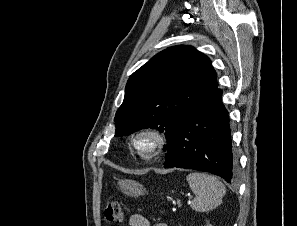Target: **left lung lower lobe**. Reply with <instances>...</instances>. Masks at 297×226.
Returning a JSON list of instances; mask_svg holds the SVG:
<instances>
[{"label": "left lung lower lobe", "mask_w": 297, "mask_h": 226, "mask_svg": "<svg viewBox=\"0 0 297 226\" xmlns=\"http://www.w3.org/2000/svg\"><path fill=\"white\" fill-rule=\"evenodd\" d=\"M221 96L222 91L216 88L198 101L168 148L164 168L201 170L228 183L235 180L229 116Z\"/></svg>", "instance_id": "1"}]
</instances>
